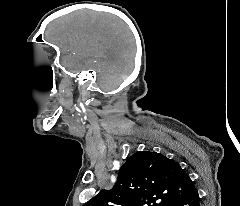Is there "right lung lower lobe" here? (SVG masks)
<instances>
[{"label":"right lung lower lobe","mask_w":240,"mask_h":206,"mask_svg":"<svg viewBox=\"0 0 240 206\" xmlns=\"http://www.w3.org/2000/svg\"><path fill=\"white\" fill-rule=\"evenodd\" d=\"M199 201V194L196 189H193L189 194L176 199L168 206H200Z\"/></svg>","instance_id":"1"}]
</instances>
